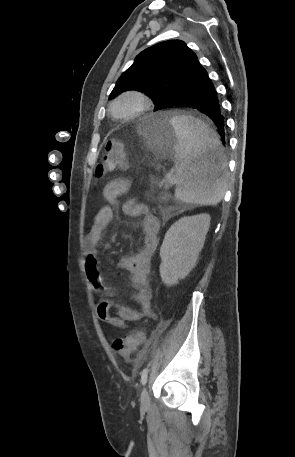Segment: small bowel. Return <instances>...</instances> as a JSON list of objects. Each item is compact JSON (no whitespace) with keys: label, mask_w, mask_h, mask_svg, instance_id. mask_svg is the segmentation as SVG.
Returning a JSON list of instances; mask_svg holds the SVG:
<instances>
[{"label":"small bowel","mask_w":295,"mask_h":457,"mask_svg":"<svg viewBox=\"0 0 295 457\" xmlns=\"http://www.w3.org/2000/svg\"><path fill=\"white\" fill-rule=\"evenodd\" d=\"M130 183L125 179L110 181L103 189V195L108 205L102 206L95 215L93 225L86 235V252L84 269L87 280L92 289L102 296H113L112 290L102 279L99 269L100 249L106 248L108 243L103 240V231L113 220V205L129 190ZM123 211L129 216H143L140 224L143 234L141 250L132 257H123L120 268L131 275L133 294L131 298L139 306V310L117 303L110 298L102 300L97 306V315L105 323L125 328L128 322L139 321L145 317L155 319L151 310L152 289L149 283L152 257L158 245L159 222L149 214L144 204L129 199L123 205ZM116 315H113L112 312Z\"/></svg>","instance_id":"small-bowel-1"}]
</instances>
